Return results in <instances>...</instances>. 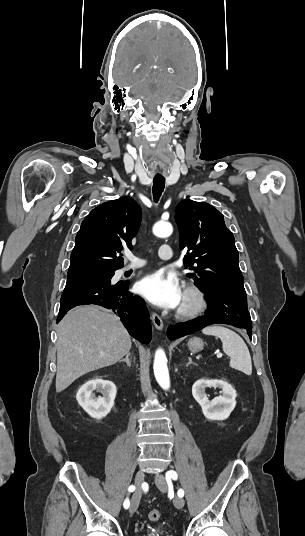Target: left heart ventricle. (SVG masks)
<instances>
[{
    "label": "left heart ventricle",
    "instance_id": "obj_1",
    "mask_svg": "<svg viewBox=\"0 0 305 536\" xmlns=\"http://www.w3.org/2000/svg\"><path fill=\"white\" fill-rule=\"evenodd\" d=\"M189 304H191V300H190V299H186V298L182 295V300H181L180 306H183V305H189Z\"/></svg>",
    "mask_w": 305,
    "mask_h": 536
}]
</instances>
